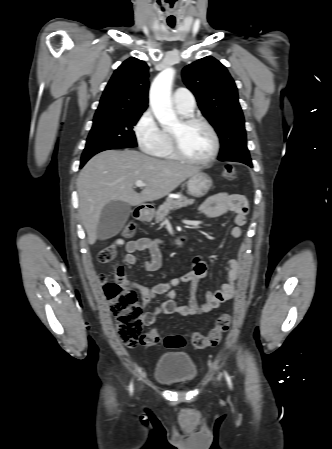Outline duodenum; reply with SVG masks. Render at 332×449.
I'll return each mask as SVG.
<instances>
[{"label": "duodenum", "mask_w": 332, "mask_h": 449, "mask_svg": "<svg viewBox=\"0 0 332 449\" xmlns=\"http://www.w3.org/2000/svg\"><path fill=\"white\" fill-rule=\"evenodd\" d=\"M150 209L147 206H140L136 211V218L138 221L143 222L148 219ZM183 240V239H181Z\"/></svg>", "instance_id": "duodenum-1"}]
</instances>
